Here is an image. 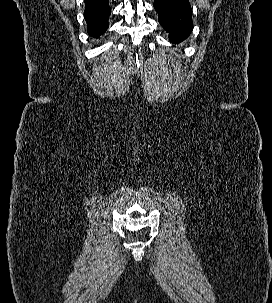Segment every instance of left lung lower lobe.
<instances>
[{
	"mask_svg": "<svg viewBox=\"0 0 272 303\" xmlns=\"http://www.w3.org/2000/svg\"><path fill=\"white\" fill-rule=\"evenodd\" d=\"M154 8L172 43H180L189 36L193 29L189 0H154Z\"/></svg>",
	"mask_w": 272,
	"mask_h": 303,
	"instance_id": "1",
	"label": "left lung lower lobe"
}]
</instances>
